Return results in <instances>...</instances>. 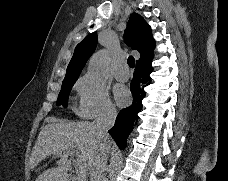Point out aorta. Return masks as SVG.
<instances>
[{"label":"aorta","mask_w":228,"mask_h":181,"mask_svg":"<svg viewBox=\"0 0 228 181\" xmlns=\"http://www.w3.org/2000/svg\"><path fill=\"white\" fill-rule=\"evenodd\" d=\"M109 62V53L107 50H100L93 54L88 65V74L96 79L101 80L105 74Z\"/></svg>","instance_id":"aorta-1"}]
</instances>
